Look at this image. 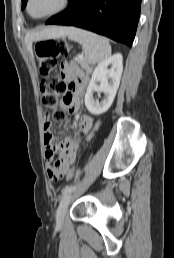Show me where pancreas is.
Here are the masks:
<instances>
[{"label": "pancreas", "mask_w": 174, "mask_h": 258, "mask_svg": "<svg viewBox=\"0 0 174 258\" xmlns=\"http://www.w3.org/2000/svg\"><path fill=\"white\" fill-rule=\"evenodd\" d=\"M75 61H77L80 66L86 70L88 73H91L93 70L92 66H89L83 59H79L78 57L75 58Z\"/></svg>", "instance_id": "1"}]
</instances>
